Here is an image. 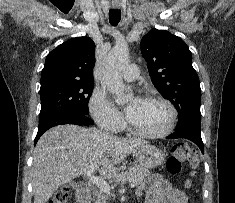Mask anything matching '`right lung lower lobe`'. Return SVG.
<instances>
[{
    "label": "right lung lower lobe",
    "mask_w": 235,
    "mask_h": 203,
    "mask_svg": "<svg viewBox=\"0 0 235 203\" xmlns=\"http://www.w3.org/2000/svg\"><path fill=\"white\" fill-rule=\"evenodd\" d=\"M93 123L94 122L86 115L75 112L64 111L48 115L44 118L39 119V128L34 141V145H36L40 136L51 127L63 124H75L82 126L92 125Z\"/></svg>",
    "instance_id": "1"
}]
</instances>
